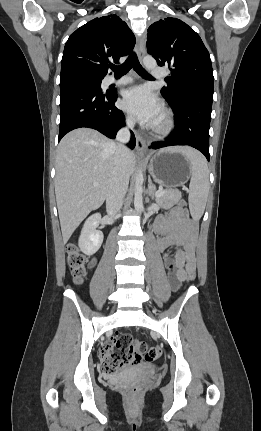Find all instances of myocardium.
Listing matches in <instances>:
<instances>
[{
    "instance_id": "f54148a6",
    "label": "myocardium",
    "mask_w": 261,
    "mask_h": 431,
    "mask_svg": "<svg viewBox=\"0 0 261 431\" xmlns=\"http://www.w3.org/2000/svg\"><path fill=\"white\" fill-rule=\"evenodd\" d=\"M174 128V120L172 115L165 111L160 117L158 123L153 127V131L155 134L159 136L168 135Z\"/></svg>"
}]
</instances>
